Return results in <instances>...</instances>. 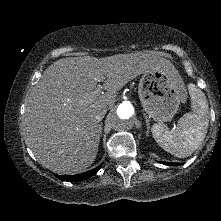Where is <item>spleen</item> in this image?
<instances>
[{
	"instance_id": "obj_1",
	"label": "spleen",
	"mask_w": 221,
	"mask_h": 221,
	"mask_svg": "<svg viewBox=\"0 0 221 221\" xmlns=\"http://www.w3.org/2000/svg\"><path fill=\"white\" fill-rule=\"evenodd\" d=\"M192 112L184 114L175 129L163 124L152 127L155 141L165 151L178 157L190 156L204 140L208 128V102L205 94L193 83L188 85Z\"/></svg>"
}]
</instances>
